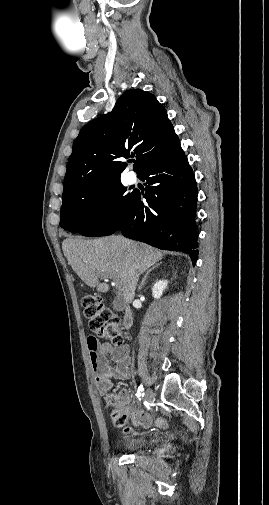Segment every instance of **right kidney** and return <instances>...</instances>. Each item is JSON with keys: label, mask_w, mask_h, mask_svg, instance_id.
Masks as SVG:
<instances>
[{"label": "right kidney", "mask_w": 269, "mask_h": 505, "mask_svg": "<svg viewBox=\"0 0 269 505\" xmlns=\"http://www.w3.org/2000/svg\"><path fill=\"white\" fill-rule=\"evenodd\" d=\"M168 282L166 280L157 281L152 288V295L155 299H159L163 291L167 288Z\"/></svg>", "instance_id": "1"}]
</instances>
